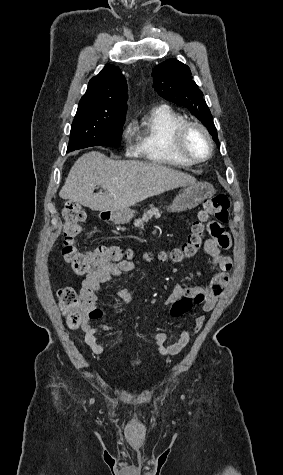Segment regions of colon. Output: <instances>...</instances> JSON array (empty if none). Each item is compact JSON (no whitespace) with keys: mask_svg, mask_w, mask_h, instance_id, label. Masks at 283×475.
Returning a JSON list of instances; mask_svg holds the SVG:
<instances>
[{"mask_svg":"<svg viewBox=\"0 0 283 475\" xmlns=\"http://www.w3.org/2000/svg\"><path fill=\"white\" fill-rule=\"evenodd\" d=\"M63 218V242L61 256L71 267L77 276H85L95 272L107 263L122 264L130 260L131 253L128 250L115 246H96L86 252L80 251L76 246V240L82 233V223L86 219L84 209L77 203L68 201L62 210ZM214 218L222 224L229 220V199L226 194H217L207 200L201 213V219L193 223L186 241L176 249L172 256L180 260L195 257L201 250L206 233V223ZM127 268L132 263L126 262ZM78 289L64 286L58 293V305L65 315L66 325L70 329H76L81 325V317L78 306H84L86 299L80 297ZM192 299L184 297L176 305L171 307L173 314H187L192 306Z\"/></svg>","mask_w":283,"mask_h":475,"instance_id":"5ec220e1","label":"colon"}]
</instances>
